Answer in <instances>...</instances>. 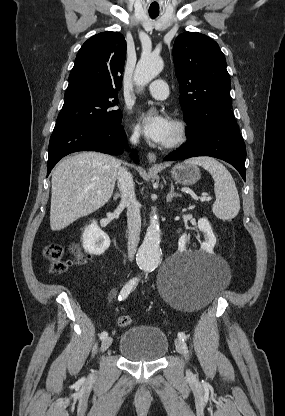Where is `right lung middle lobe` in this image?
<instances>
[{
  "label": "right lung middle lobe",
  "mask_w": 285,
  "mask_h": 416,
  "mask_svg": "<svg viewBox=\"0 0 285 416\" xmlns=\"http://www.w3.org/2000/svg\"><path fill=\"white\" fill-rule=\"evenodd\" d=\"M65 102L55 126L92 125L117 127L121 124L122 113L115 106L118 96L90 97L65 95Z\"/></svg>",
  "instance_id": "dd1d6c3e"
}]
</instances>
